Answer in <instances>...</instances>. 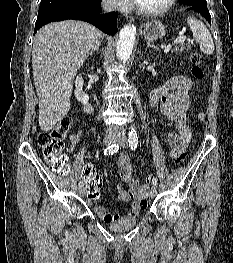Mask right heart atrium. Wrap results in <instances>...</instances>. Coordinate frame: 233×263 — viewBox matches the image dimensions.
<instances>
[{
    "label": "right heart atrium",
    "mask_w": 233,
    "mask_h": 263,
    "mask_svg": "<svg viewBox=\"0 0 233 263\" xmlns=\"http://www.w3.org/2000/svg\"><path fill=\"white\" fill-rule=\"evenodd\" d=\"M103 2L110 8L123 10L128 5V0H103Z\"/></svg>",
    "instance_id": "obj_1"
}]
</instances>
